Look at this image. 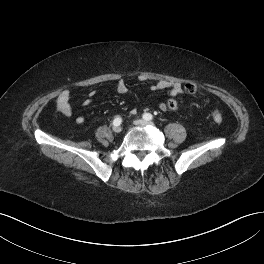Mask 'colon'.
I'll return each mask as SVG.
<instances>
[{
	"mask_svg": "<svg viewBox=\"0 0 264 264\" xmlns=\"http://www.w3.org/2000/svg\"><path fill=\"white\" fill-rule=\"evenodd\" d=\"M197 90H198L197 85L194 83L189 82V83H186L184 85V91L187 94H190V95L195 94L197 92ZM165 106L167 109H169L170 111H173V112H178L180 110V106H179L178 102L172 98L168 99L165 102ZM211 118L217 124H220L223 121L222 115L218 110H214L212 112Z\"/></svg>",
	"mask_w": 264,
	"mask_h": 264,
	"instance_id": "colon-1",
	"label": "colon"
}]
</instances>
